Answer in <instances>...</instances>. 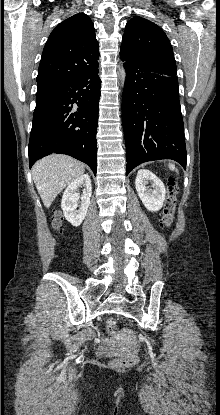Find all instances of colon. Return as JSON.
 <instances>
[{
  "label": "colon",
  "instance_id": "5ec220e1",
  "mask_svg": "<svg viewBox=\"0 0 220 415\" xmlns=\"http://www.w3.org/2000/svg\"><path fill=\"white\" fill-rule=\"evenodd\" d=\"M167 196L162 211L161 225L164 228L170 226L176 204V194L178 190L177 183L174 178L167 179ZM53 227L56 231L62 230V224L59 217H56L53 221ZM107 330L112 337L116 336L117 333V321L114 317H109L107 320ZM136 362L134 357H119L112 361V366L117 369H124L131 367Z\"/></svg>",
  "mask_w": 220,
  "mask_h": 415
}]
</instances>
